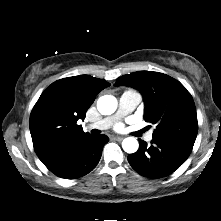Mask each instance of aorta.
<instances>
[{"label":"aorta","mask_w":221,"mask_h":221,"mask_svg":"<svg viewBox=\"0 0 221 221\" xmlns=\"http://www.w3.org/2000/svg\"><path fill=\"white\" fill-rule=\"evenodd\" d=\"M97 109L102 115H111L117 109V100L114 96L104 95L97 101ZM139 143L134 137H127L122 142V148L127 153H135L138 150Z\"/></svg>","instance_id":"1"}]
</instances>
